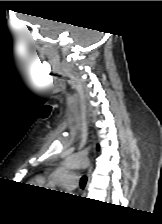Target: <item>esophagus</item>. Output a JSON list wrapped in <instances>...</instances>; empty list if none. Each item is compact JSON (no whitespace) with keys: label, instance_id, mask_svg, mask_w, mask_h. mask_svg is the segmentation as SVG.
<instances>
[{"label":"esophagus","instance_id":"obj_1","mask_svg":"<svg viewBox=\"0 0 162 224\" xmlns=\"http://www.w3.org/2000/svg\"><path fill=\"white\" fill-rule=\"evenodd\" d=\"M90 173H91V167H89V169H88V172H87V184H86V187H85V192H86V190H87V188H88V185H89V182H90Z\"/></svg>","mask_w":162,"mask_h":224}]
</instances>
